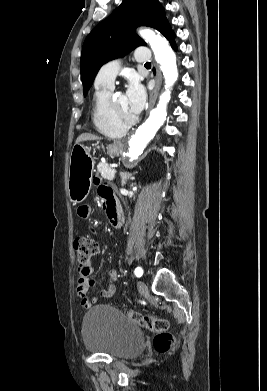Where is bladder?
<instances>
[{"label":"bladder","instance_id":"obj_1","mask_svg":"<svg viewBox=\"0 0 267 391\" xmlns=\"http://www.w3.org/2000/svg\"><path fill=\"white\" fill-rule=\"evenodd\" d=\"M82 339L87 351L115 358H132L144 348V334L138 325L119 311L97 306L84 317Z\"/></svg>","mask_w":267,"mask_h":391}]
</instances>
